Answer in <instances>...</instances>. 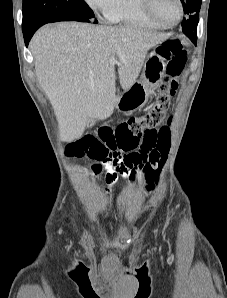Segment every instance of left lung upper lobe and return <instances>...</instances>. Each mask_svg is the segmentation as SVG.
I'll return each mask as SVG.
<instances>
[{"label":"left lung upper lobe","instance_id":"1","mask_svg":"<svg viewBox=\"0 0 227 298\" xmlns=\"http://www.w3.org/2000/svg\"><path fill=\"white\" fill-rule=\"evenodd\" d=\"M181 2L184 13L189 15V18L184 19L182 23L183 32L195 43L197 41L196 32L202 0H181Z\"/></svg>","mask_w":227,"mask_h":298}]
</instances>
